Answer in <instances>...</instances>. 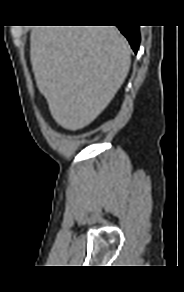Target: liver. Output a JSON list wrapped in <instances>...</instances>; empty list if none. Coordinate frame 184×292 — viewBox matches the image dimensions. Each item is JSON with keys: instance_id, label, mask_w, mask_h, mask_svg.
Instances as JSON below:
<instances>
[{"instance_id": "obj_1", "label": "liver", "mask_w": 184, "mask_h": 292, "mask_svg": "<svg viewBox=\"0 0 184 292\" xmlns=\"http://www.w3.org/2000/svg\"><path fill=\"white\" fill-rule=\"evenodd\" d=\"M30 47L37 88L56 122L71 131L109 105L131 65L130 46L115 26H38Z\"/></svg>"}]
</instances>
